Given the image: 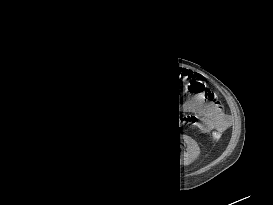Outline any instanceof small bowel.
<instances>
[{"mask_svg": "<svg viewBox=\"0 0 273 205\" xmlns=\"http://www.w3.org/2000/svg\"><path fill=\"white\" fill-rule=\"evenodd\" d=\"M188 108L196 113L206 116L205 121L202 126L209 128L212 122L224 123L227 119L226 115L223 113L220 103L216 100L210 101H198L193 100L188 104Z\"/></svg>", "mask_w": 273, "mask_h": 205, "instance_id": "c3829d8e", "label": "small bowel"}]
</instances>
